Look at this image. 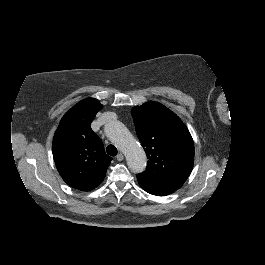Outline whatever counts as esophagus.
Returning a JSON list of instances; mask_svg holds the SVG:
<instances>
[{
  "label": "esophagus",
  "mask_w": 265,
  "mask_h": 265,
  "mask_svg": "<svg viewBox=\"0 0 265 265\" xmlns=\"http://www.w3.org/2000/svg\"><path fill=\"white\" fill-rule=\"evenodd\" d=\"M123 159H124L123 154H122V153H119V154L117 155V160H118V161H122Z\"/></svg>",
  "instance_id": "obj_1"
}]
</instances>
